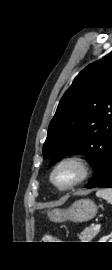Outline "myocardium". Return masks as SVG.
<instances>
[{
	"label": "myocardium",
	"instance_id": "1",
	"mask_svg": "<svg viewBox=\"0 0 112 270\" xmlns=\"http://www.w3.org/2000/svg\"><path fill=\"white\" fill-rule=\"evenodd\" d=\"M65 166H74L78 170V176L67 185L61 186L56 183V173ZM92 174V167L89 160L80 154H68L61 157L52 167L49 173V181L51 185L59 192L70 191L84 182H86Z\"/></svg>",
	"mask_w": 112,
	"mask_h": 270
}]
</instances>
